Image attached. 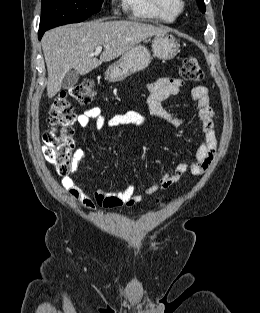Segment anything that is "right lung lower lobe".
<instances>
[{
    "instance_id": "obj_1",
    "label": "right lung lower lobe",
    "mask_w": 260,
    "mask_h": 313,
    "mask_svg": "<svg viewBox=\"0 0 260 313\" xmlns=\"http://www.w3.org/2000/svg\"><path fill=\"white\" fill-rule=\"evenodd\" d=\"M46 30L44 29H39L38 35H39V39H41L42 35L44 34Z\"/></svg>"
}]
</instances>
